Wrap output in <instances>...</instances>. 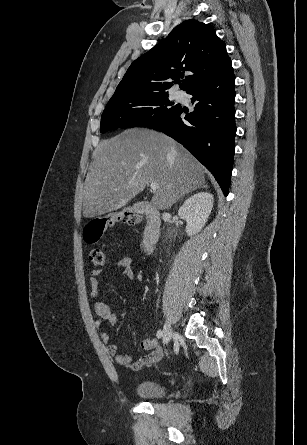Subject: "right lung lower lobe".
I'll list each match as a JSON object with an SVG mask.
<instances>
[{
  "label": "right lung lower lobe",
  "instance_id": "right-lung-lower-lobe-1",
  "mask_svg": "<svg viewBox=\"0 0 307 445\" xmlns=\"http://www.w3.org/2000/svg\"><path fill=\"white\" fill-rule=\"evenodd\" d=\"M231 63L186 93L193 95L194 111L180 117V106L167 117L147 126L174 138L189 150L215 177L228 195L236 134Z\"/></svg>",
  "mask_w": 307,
  "mask_h": 445
}]
</instances>
